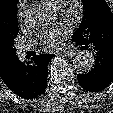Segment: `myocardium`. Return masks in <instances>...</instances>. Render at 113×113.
<instances>
[{
	"mask_svg": "<svg viewBox=\"0 0 113 113\" xmlns=\"http://www.w3.org/2000/svg\"><path fill=\"white\" fill-rule=\"evenodd\" d=\"M56 8L58 13L72 25L78 23L83 14L81 0H60Z\"/></svg>",
	"mask_w": 113,
	"mask_h": 113,
	"instance_id": "obj_1",
	"label": "myocardium"
}]
</instances>
